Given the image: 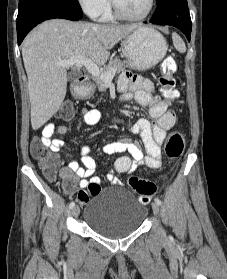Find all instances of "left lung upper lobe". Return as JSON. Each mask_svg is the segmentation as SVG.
Listing matches in <instances>:
<instances>
[{
    "mask_svg": "<svg viewBox=\"0 0 227 279\" xmlns=\"http://www.w3.org/2000/svg\"><path fill=\"white\" fill-rule=\"evenodd\" d=\"M163 0H156L157 4H159L160 2H162Z\"/></svg>",
    "mask_w": 227,
    "mask_h": 279,
    "instance_id": "left-lung-upper-lobe-1",
    "label": "left lung upper lobe"
}]
</instances>
